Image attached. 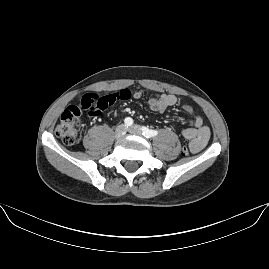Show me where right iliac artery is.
I'll return each instance as SVG.
<instances>
[{
    "label": "right iliac artery",
    "instance_id": "obj_1",
    "mask_svg": "<svg viewBox=\"0 0 269 269\" xmlns=\"http://www.w3.org/2000/svg\"><path fill=\"white\" fill-rule=\"evenodd\" d=\"M124 122L126 127H130L133 124V120L130 117L125 118Z\"/></svg>",
    "mask_w": 269,
    "mask_h": 269
}]
</instances>
